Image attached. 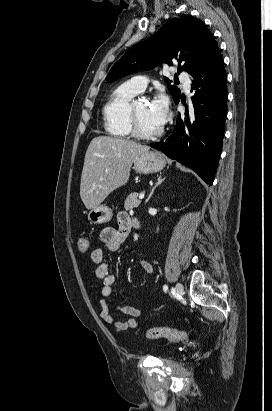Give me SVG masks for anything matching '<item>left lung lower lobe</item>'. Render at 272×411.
<instances>
[{"mask_svg": "<svg viewBox=\"0 0 272 411\" xmlns=\"http://www.w3.org/2000/svg\"><path fill=\"white\" fill-rule=\"evenodd\" d=\"M226 72L219 48L194 77L193 108L177 118L173 133L165 141L151 144L169 158L193 169L212 184L222 149L226 118ZM180 99L176 102L178 103Z\"/></svg>", "mask_w": 272, "mask_h": 411, "instance_id": "left-lung-lower-lobe-1", "label": "left lung lower lobe"}]
</instances>
